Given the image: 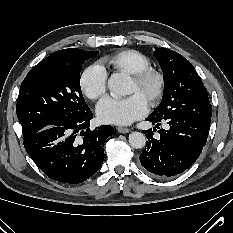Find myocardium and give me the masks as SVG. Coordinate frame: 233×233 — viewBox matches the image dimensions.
Segmentation results:
<instances>
[{
  "mask_svg": "<svg viewBox=\"0 0 233 233\" xmlns=\"http://www.w3.org/2000/svg\"><path fill=\"white\" fill-rule=\"evenodd\" d=\"M132 80L138 85H143L150 80L154 81V91L147 101L149 104H156L162 99L166 89V78L162 71L148 67L133 74Z\"/></svg>",
  "mask_w": 233,
  "mask_h": 233,
  "instance_id": "obj_1",
  "label": "myocardium"
}]
</instances>
